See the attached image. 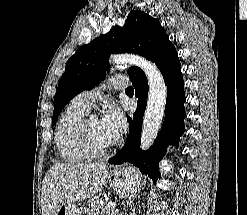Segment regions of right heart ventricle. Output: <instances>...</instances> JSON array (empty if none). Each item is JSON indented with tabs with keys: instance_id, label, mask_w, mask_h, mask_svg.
<instances>
[{
	"instance_id": "right-heart-ventricle-1",
	"label": "right heart ventricle",
	"mask_w": 247,
	"mask_h": 215,
	"mask_svg": "<svg viewBox=\"0 0 247 215\" xmlns=\"http://www.w3.org/2000/svg\"><path fill=\"white\" fill-rule=\"evenodd\" d=\"M87 110L72 101L63 111L55 131V143L62 160L80 163L91 157L84 149L79 136V125Z\"/></svg>"
}]
</instances>
